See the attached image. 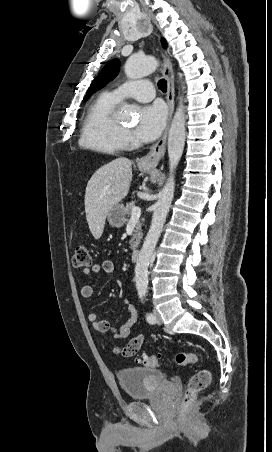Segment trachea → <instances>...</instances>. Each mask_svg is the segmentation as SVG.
<instances>
[{"label":"trachea","instance_id":"trachea-1","mask_svg":"<svg viewBox=\"0 0 272 452\" xmlns=\"http://www.w3.org/2000/svg\"><path fill=\"white\" fill-rule=\"evenodd\" d=\"M158 88L164 93L167 91V82L165 79L159 80Z\"/></svg>","mask_w":272,"mask_h":452}]
</instances>
